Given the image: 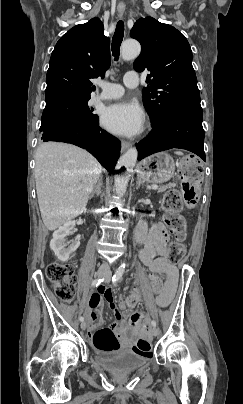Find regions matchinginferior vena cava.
<instances>
[{
    "label": "inferior vena cava",
    "instance_id": "602c4592",
    "mask_svg": "<svg viewBox=\"0 0 243 404\" xmlns=\"http://www.w3.org/2000/svg\"><path fill=\"white\" fill-rule=\"evenodd\" d=\"M105 264V263H104ZM101 264L100 265V267L98 268V273L99 274H104L105 272L106 273H109L110 272V267H109V265L108 264Z\"/></svg>",
    "mask_w": 243,
    "mask_h": 404
}]
</instances>
